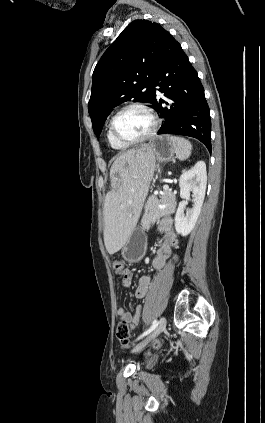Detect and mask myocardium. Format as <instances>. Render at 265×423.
<instances>
[{
  "instance_id": "1",
  "label": "myocardium",
  "mask_w": 265,
  "mask_h": 423,
  "mask_svg": "<svg viewBox=\"0 0 265 423\" xmlns=\"http://www.w3.org/2000/svg\"><path fill=\"white\" fill-rule=\"evenodd\" d=\"M128 109H139L143 112H145L151 119L152 121V126L151 129L142 137L137 138V139H126L123 138L122 136H120L117 131H116V127H115V123L117 118L119 117V115H121L124 111L128 110ZM159 127V119L156 116V114L154 113V111L146 104L140 103V102H132L129 104L124 105L123 107H121L111 118L110 120V124H109V128H110V132L112 134V136L119 141L120 143L124 144V145H135V144H139L142 143L148 139H150L151 137H153Z\"/></svg>"
}]
</instances>
